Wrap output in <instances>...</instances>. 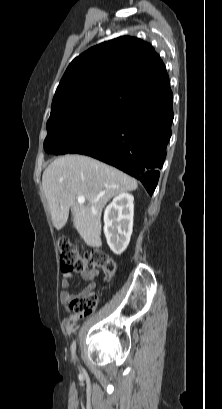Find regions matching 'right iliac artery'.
<instances>
[{"mask_svg": "<svg viewBox=\"0 0 222 409\" xmlns=\"http://www.w3.org/2000/svg\"><path fill=\"white\" fill-rule=\"evenodd\" d=\"M75 350H76V343L75 341L72 343L71 346V351H72V357L75 358Z\"/></svg>", "mask_w": 222, "mask_h": 409, "instance_id": "1", "label": "right iliac artery"}]
</instances>
